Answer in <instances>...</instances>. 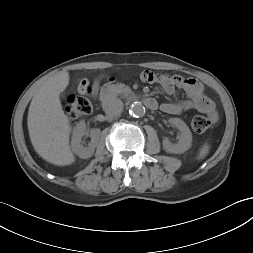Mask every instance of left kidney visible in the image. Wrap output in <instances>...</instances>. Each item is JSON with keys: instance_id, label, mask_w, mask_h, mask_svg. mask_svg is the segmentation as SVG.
<instances>
[{"instance_id": "5707ae66", "label": "left kidney", "mask_w": 253, "mask_h": 253, "mask_svg": "<svg viewBox=\"0 0 253 253\" xmlns=\"http://www.w3.org/2000/svg\"><path fill=\"white\" fill-rule=\"evenodd\" d=\"M168 122L180 130L177 144H171L167 139L163 140V148L168 153L181 154L192 145V134L186 123L179 118H170Z\"/></svg>"}]
</instances>
